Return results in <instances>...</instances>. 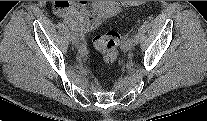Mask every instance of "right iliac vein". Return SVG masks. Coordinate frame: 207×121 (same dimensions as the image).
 Here are the masks:
<instances>
[{"instance_id":"right-iliac-vein-1","label":"right iliac vein","mask_w":207,"mask_h":121,"mask_svg":"<svg viewBox=\"0 0 207 121\" xmlns=\"http://www.w3.org/2000/svg\"><path fill=\"white\" fill-rule=\"evenodd\" d=\"M70 42L73 44V45H76V46H79V41H78V38L75 34L71 33L70 35ZM80 52L85 54L87 52L86 49H81L80 48Z\"/></svg>"}]
</instances>
